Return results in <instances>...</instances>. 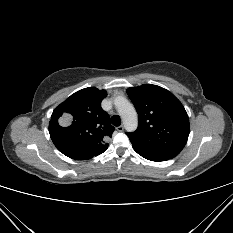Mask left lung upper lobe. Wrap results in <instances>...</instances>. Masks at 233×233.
<instances>
[{"instance_id":"1","label":"left lung upper lobe","mask_w":233,"mask_h":233,"mask_svg":"<svg viewBox=\"0 0 233 233\" xmlns=\"http://www.w3.org/2000/svg\"><path fill=\"white\" fill-rule=\"evenodd\" d=\"M138 113V128L127 133L134 149L167 159L177 156L189 136V118L168 90L144 84L127 89Z\"/></svg>"}]
</instances>
